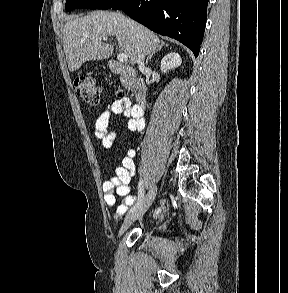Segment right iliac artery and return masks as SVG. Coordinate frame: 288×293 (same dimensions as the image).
Listing matches in <instances>:
<instances>
[{"label": "right iliac artery", "mask_w": 288, "mask_h": 293, "mask_svg": "<svg viewBox=\"0 0 288 293\" xmlns=\"http://www.w3.org/2000/svg\"><path fill=\"white\" fill-rule=\"evenodd\" d=\"M144 183L143 180H140L139 184H138V200L136 202V204L130 209L129 213L135 211L136 209H138L140 207V205L142 204L143 200H144Z\"/></svg>", "instance_id": "right-iliac-artery-1"}]
</instances>
